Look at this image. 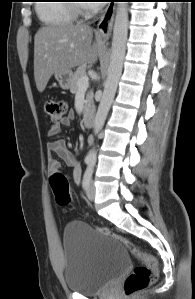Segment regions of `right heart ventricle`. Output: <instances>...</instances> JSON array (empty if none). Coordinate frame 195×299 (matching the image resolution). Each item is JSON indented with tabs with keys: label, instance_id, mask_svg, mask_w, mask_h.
<instances>
[{
	"label": "right heart ventricle",
	"instance_id": "1",
	"mask_svg": "<svg viewBox=\"0 0 195 299\" xmlns=\"http://www.w3.org/2000/svg\"><path fill=\"white\" fill-rule=\"evenodd\" d=\"M47 3H39L36 7V12L39 19L44 25L50 27L66 26L75 21V13L68 1L50 0L43 1Z\"/></svg>",
	"mask_w": 195,
	"mask_h": 299
}]
</instances>
